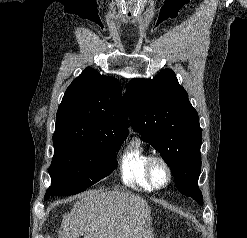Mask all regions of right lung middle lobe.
Listing matches in <instances>:
<instances>
[{
	"label": "right lung middle lobe",
	"mask_w": 247,
	"mask_h": 238,
	"mask_svg": "<svg viewBox=\"0 0 247 238\" xmlns=\"http://www.w3.org/2000/svg\"><path fill=\"white\" fill-rule=\"evenodd\" d=\"M122 142L75 135L53 138L55 153L49 167L52 185L45 200L81 192L112 173Z\"/></svg>",
	"instance_id": "1"
}]
</instances>
